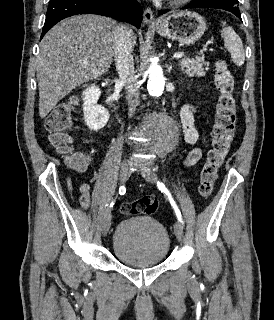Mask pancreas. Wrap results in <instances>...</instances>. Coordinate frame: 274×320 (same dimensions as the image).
<instances>
[{
  "mask_svg": "<svg viewBox=\"0 0 274 320\" xmlns=\"http://www.w3.org/2000/svg\"><path fill=\"white\" fill-rule=\"evenodd\" d=\"M179 66L182 72L188 74V76H198V78H203L206 72H208L209 62H205V56L199 54L195 58H181Z\"/></svg>",
  "mask_w": 274,
  "mask_h": 320,
  "instance_id": "cf45deb5",
  "label": "pancreas"
}]
</instances>
